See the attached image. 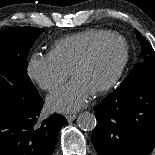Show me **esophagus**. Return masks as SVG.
<instances>
[{
	"instance_id": "esophagus-1",
	"label": "esophagus",
	"mask_w": 155,
	"mask_h": 155,
	"mask_svg": "<svg viewBox=\"0 0 155 155\" xmlns=\"http://www.w3.org/2000/svg\"><path fill=\"white\" fill-rule=\"evenodd\" d=\"M75 118H76V115H74V114L66 116V119H67L68 122H72L73 120H75Z\"/></svg>"
}]
</instances>
